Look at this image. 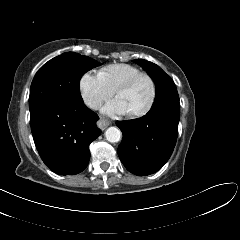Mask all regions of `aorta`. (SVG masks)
Here are the masks:
<instances>
[{
    "label": "aorta",
    "mask_w": 240,
    "mask_h": 240,
    "mask_svg": "<svg viewBox=\"0 0 240 240\" xmlns=\"http://www.w3.org/2000/svg\"><path fill=\"white\" fill-rule=\"evenodd\" d=\"M105 137L108 142L116 143L121 139V131L116 127H109L105 131Z\"/></svg>",
    "instance_id": "762f6f07"
}]
</instances>
